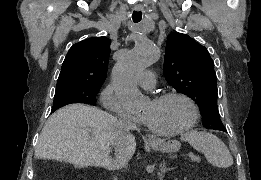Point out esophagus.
<instances>
[{"label": "esophagus", "instance_id": "obj_1", "mask_svg": "<svg viewBox=\"0 0 261 180\" xmlns=\"http://www.w3.org/2000/svg\"><path fill=\"white\" fill-rule=\"evenodd\" d=\"M155 138L153 136H149V141H153Z\"/></svg>", "mask_w": 261, "mask_h": 180}]
</instances>
